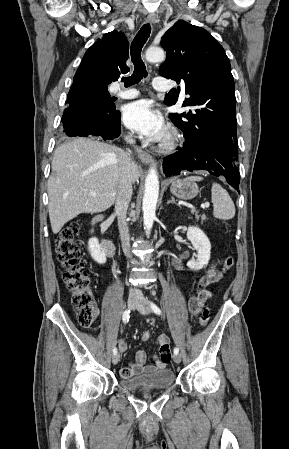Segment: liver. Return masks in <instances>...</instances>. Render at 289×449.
Instances as JSON below:
<instances>
[{
    "label": "liver",
    "mask_w": 289,
    "mask_h": 449,
    "mask_svg": "<svg viewBox=\"0 0 289 449\" xmlns=\"http://www.w3.org/2000/svg\"><path fill=\"white\" fill-rule=\"evenodd\" d=\"M125 160L122 149L93 139L77 138L56 148L48 180L54 234L79 214L103 212L113 205ZM139 175L133 163L132 181L137 182Z\"/></svg>",
    "instance_id": "liver-1"
}]
</instances>
